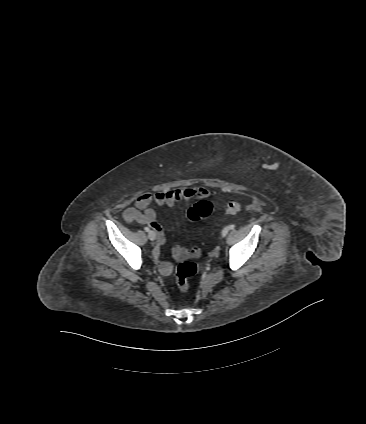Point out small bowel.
I'll return each instance as SVG.
<instances>
[{
    "mask_svg": "<svg viewBox=\"0 0 366 424\" xmlns=\"http://www.w3.org/2000/svg\"><path fill=\"white\" fill-rule=\"evenodd\" d=\"M210 195L209 189L206 187L187 186L177 189L161 190L154 194L144 193L139 195L133 202L132 206L128 207L123 214L127 223L138 222L141 224H148L157 234V245L154 248V257L159 260L161 255V248L165 244L166 238L161 225L156 219V212L150 207L152 202L158 206H173L177 202H189L192 199H204ZM176 254L182 253V248L179 246L174 247ZM159 266L164 274H168L171 270V265L166 261H159Z\"/></svg>",
    "mask_w": 366,
    "mask_h": 424,
    "instance_id": "c3829d8e",
    "label": "small bowel"
}]
</instances>
